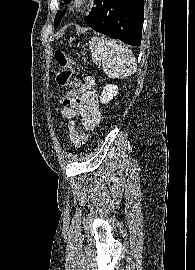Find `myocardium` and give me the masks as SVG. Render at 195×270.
<instances>
[{
	"label": "myocardium",
	"instance_id": "1",
	"mask_svg": "<svg viewBox=\"0 0 195 270\" xmlns=\"http://www.w3.org/2000/svg\"><path fill=\"white\" fill-rule=\"evenodd\" d=\"M92 0H71V7L76 12H83L91 6Z\"/></svg>",
	"mask_w": 195,
	"mask_h": 270
}]
</instances>
